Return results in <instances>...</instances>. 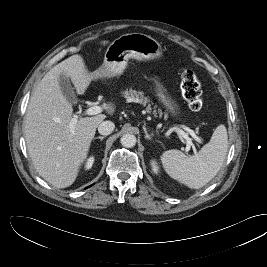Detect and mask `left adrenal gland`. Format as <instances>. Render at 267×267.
Wrapping results in <instances>:
<instances>
[{
  "mask_svg": "<svg viewBox=\"0 0 267 267\" xmlns=\"http://www.w3.org/2000/svg\"><path fill=\"white\" fill-rule=\"evenodd\" d=\"M143 130H144V133H145V139L151 140L153 134L149 135L145 126H143Z\"/></svg>",
  "mask_w": 267,
  "mask_h": 267,
  "instance_id": "a2214340",
  "label": "left adrenal gland"
}]
</instances>
